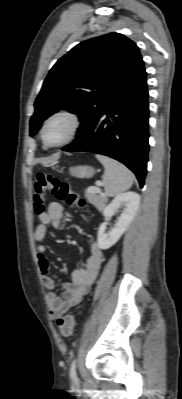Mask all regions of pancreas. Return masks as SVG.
I'll use <instances>...</instances> for the list:
<instances>
[{
  "mask_svg": "<svg viewBox=\"0 0 182 399\" xmlns=\"http://www.w3.org/2000/svg\"><path fill=\"white\" fill-rule=\"evenodd\" d=\"M86 195L88 196L89 200L97 207L101 206L106 201V197L101 192H91L87 190Z\"/></svg>",
  "mask_w": 182,
  "mask_h": 399,
  "instance_id": "obj_1",
  "label": "pancreas"
}]
</instances>
